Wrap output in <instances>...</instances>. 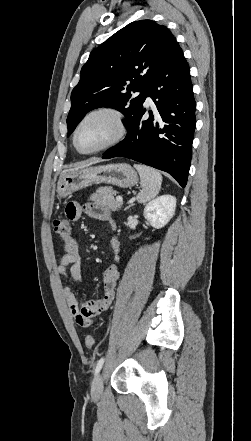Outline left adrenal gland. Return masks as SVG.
I'll list each match as a JSON object with an SVG mask.
<instances>
[{
  "label": "left adrenal gland",
  "mask_w": 251,
  "mask_h": 441,
  "mask_svg": "<svg viewBox=\"0 0 251 441\" xmlns=\"http://www.w3.org/2000/svg\"><path fill=\"white\" fill-rule=\"evenodd\" d=\"M132 206V204L131 205H129L127 208H125V210H127V209H129L130 207Z\"/></svg>",
  "instance_id": "1"
}]
</instances>
